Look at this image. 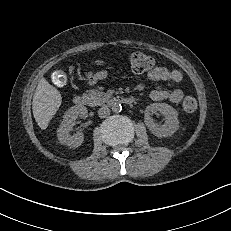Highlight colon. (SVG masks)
<instances>
[{
	"label": "colon",
	"instance_id": "obj_1",
	"mask_svg": "<svg viewBox=\"0 0 231 231\" xmlns=\"http://www.w3.org/2000/svg\"><path fill=\"white\" fill-rule=\"evenodd\" d=\"M128 63L133 72L144 73L153 68L154 59L145 53L134 52L128 56ZM182 106L186 112L192 113L197 109V100L192 96H187Z\"/></svg>",
	"mask_w": 231,
	"mask_h": 231
}]
</instances>
